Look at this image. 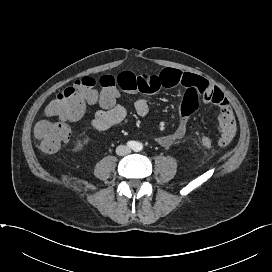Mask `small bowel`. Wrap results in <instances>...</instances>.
<instances>
[{
	"label": "small bowel",
	"instance_id": "c3829d8e",
	"mask_svg": "<svg viewBox=\"0 0 272 272\" xmlns=\"http://www.w3.org/2000/svg\"><path fill=\"white\" fill-rule=\"evenodd\" d=\"M116 81L118 87L129 93L152 94L163 88L183 87L178 125L171 133L155 138L162 147H170L185 136L190 117L197 110L200 101L219 108V136L216 140L219 147H226L236 134L237 125L229 101L218 87L202 77L176 69H165L159 73L144 74L124 71L116 77ZM134 108L139 116H146L150 111V104L145 99H139ZM126 114V109L120 104L103 108L94 114L92 126L99 131L108 130L123 121Z\"/></svg>",
	"mask_w": 272,
	"mask_h": 272
}]
</instances>
